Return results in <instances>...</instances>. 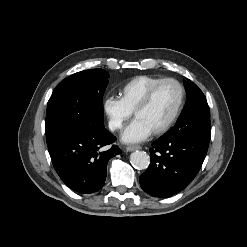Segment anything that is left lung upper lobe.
Listing matches in <instances>:
<instances>
[{
	"label": "left lung upper lobe",
	"instance_id": "obj_1",
	"mask_svg": "<svg viewBox=\"0 0 247 247\" xmlns=\"http://www.w3.org/2000/svg\"><path fill=\"white\" fill-rule=\"evenodd\" d=\"M184 85L188 98L185 107L176 125L164 135L193 137L210 141V110L206 98L192 81H185Z\"/></svg>",
	"mask_w": 247,
	"mask_h": 247
}]
</instances>
